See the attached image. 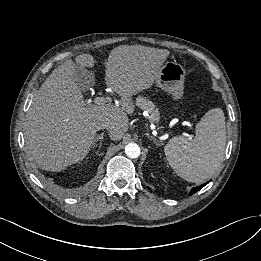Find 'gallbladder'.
Here are the masks:
<instances>
[{
    "label": "gallbladder",
    "mask_w": 261,
    "mask_h": 261,
    "mask_svg": "<svg viewBox=\"0 0 261 261\" xmlns=\"http://www.w3.org/2000/svg\"><path fill=\"white\" fill-rule=\"evenodd\" d=\"M75 82L81 91H86L90 86L95 84L94 73L80 66L76 70Z\"/></svg>",
    "instance_id": "bac80fb5"
}]
</instances>
